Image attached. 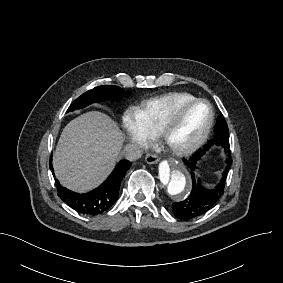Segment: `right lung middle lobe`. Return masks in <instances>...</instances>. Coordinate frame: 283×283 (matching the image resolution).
I'll return each instance as SVG.
<instances>
[{"instance_id": "1", "label": "right lung middle lobe", "mask_w": 283, "mask_h": 283, "mask_svg": "<svg viewBox=\"0 0 283 283\" xmlns=\"http://www.w3.org/2000/svg\"><path fill=\"white\" fill-rule=\"evenodd\" d=\"M125 91L113 85L95 87L78 97L68 108L67 112L84 108L85 106L103 100H118L124 95Z\"/></svg>"}]
</instances>
